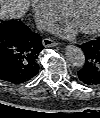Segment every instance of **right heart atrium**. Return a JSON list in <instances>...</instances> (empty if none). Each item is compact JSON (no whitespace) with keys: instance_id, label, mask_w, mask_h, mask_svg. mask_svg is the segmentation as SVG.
Segmentation results:
<instances>
[{"instance_id":"obj_1","label":"right heart atrium","mask_w":100,"mask_h":118,"mask_svg":"<svg viewBox=\"0 0 100 118\" xmlns=\"http://www.w3.org/2000/svg\"><path fill=\"white\" fill-rule=\"evenodd\" d=\"M31 5L38 25L48 28L64 16L53 0H31Z\"/></svg>"}]
</instances>
